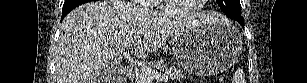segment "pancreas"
I'll return each mask as SVG.
<instances>
[{
    "instance_id": "obj_1",
    "label": "pancreas",
    "mask_w": 307,
    "mask_h": 83,
    "mask_svg": "<svg viewBox=\"0 0 307 83\" xmlns=\"http://www.w3.org/2000/svg\"><path fill=\"white\" fill-rule=\"evenodd\" d=\"M157 69H158L157 73L163 74V75L169 77L172 80L185 78L184 73L181 70H179L178 68H175V67L165 68V70H164L160 66H157ZM135 81H136V83H145V81L143 79L142 72L137 74Z\"/></svg>"
}]
</instances>
